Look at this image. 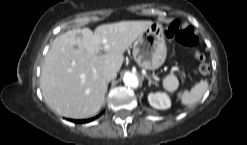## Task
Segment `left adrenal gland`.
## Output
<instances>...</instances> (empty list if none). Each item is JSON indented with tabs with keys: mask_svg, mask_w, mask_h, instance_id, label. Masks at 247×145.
Returning <instances> with one entry per match:
<instances>
[{
	"mask_svg": "<svg viewBox=\"0 0 247 145\" xmlns=\"http://www.w3.org/2000/svg\"><path fill=\"white\" fill-rule=\"evenodd\" d=\"M148 79V85L151 86V84H154L157 86V83L155 81H152L150 77H146Z\"/></svg>",
	"mask_w": 247,
	"mask_h": 145,
	"instance_id": "obj_1",
	"label": "left adrenal gland"
}]
</instances>
